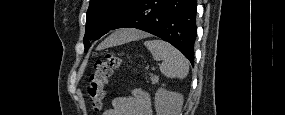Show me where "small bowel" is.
Returning <instances> with one entry per match:
<instances>
[{
	"label": "small bowel",
	"instance_id": "1",
	"mask_svg": "<svg viewBox=\"0 0 285 115\" xmlns=\"http://www.w3.org/2000/svg\"><path fill=\"white\" fill-rule=\"evenodd\" d=\"M104 115H152V102L148 92L134 88L129 96L116 97Z\"/></svg>",
	"mask_w": 285,
	"mask_h": 115
}]
</instances>
